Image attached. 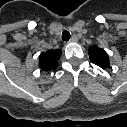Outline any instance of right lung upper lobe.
<instances>
[{
    "mask_svg": "<svg viewBox=\"0 0 127 127\" xmlns=\"http://www.w3.org/2000/svg\"><path fill=\"white\" fill-rule=\"evenodd\" d=\"M61 53V50H51L41 53L39 56V67L45 71L55 68L58 64V59L60 58Z\"/></svg>",
    "mask_w": 127,
    "mask_h": 127,
    "instance_id": "cb5924a9",
    "label": "right lung upper lobe"
}]
</instances>
